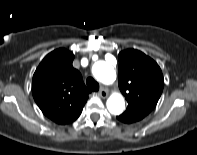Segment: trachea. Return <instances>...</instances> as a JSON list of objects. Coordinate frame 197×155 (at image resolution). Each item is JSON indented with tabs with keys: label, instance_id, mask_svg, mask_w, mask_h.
Here are the masks:
<instances>
[{
	"label": "trachea",
	"instance_id": "obj_1",
	"mask_svg": "<svg viewBox=\"0 0 197 155\" xmlns=\"http://www.w3.org/2000/svg\"><path fill=\"white\" fill-rule=\"evenodd\" d=\"M86 84H87L88 88L92 91H98L99 90V84L92 77H89L86 80Z\"/></svg>",
	"mask_w": 197,
	"mask_h": 155
}]
</instances>
